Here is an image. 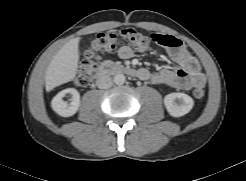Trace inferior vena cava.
<instances>
[{
	"label": "inferior vena cava",
	"instance_id": "602c4592",
	"mask_svg": "<svg viewBox=\"0 0 246 181\" xmlns=\"http://www.w3.org/2000/svg\"><path fill=\"white\" fill-rule=\"evenodd\" d=\"M113 85V80L109 75H101L97 79V86L100 89H108Z\"/></svg>",
	"mask_w": 246,
	"mask_h": 181
}]
</instances>
